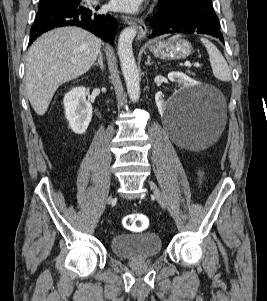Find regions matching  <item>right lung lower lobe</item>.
I'll list each match as a JSON object with an SVG mask.
<instances>
[{"label": "right lung lower lobe", "instance_id": "98d812e1", "mask_svg": "<svg viewBox=\"0 0 267 301\" xmlns=\"http://www.w3.org/2000/svg\"><path fill=\"white\" fill-rule=\"evenodd\" d=\"M80 2L81 0H74L60 7L38 13L30 31L29 44L42 33L61 26L82 27L105 42L113 44L118 25L116 19L109 14L97 13L99 7L83 6Z\"/></svg>", "mask_w": 267, "mask_h": 301}]
</instances>
